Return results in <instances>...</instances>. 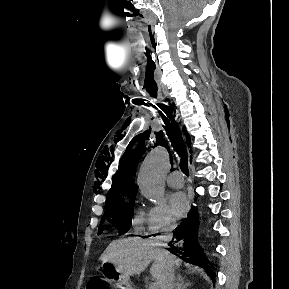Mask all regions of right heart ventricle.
Segmentation results:
<instances>
[{"label":"right heart ventricle","instance_id":"1","mask_svg":"<svg viewBox=\"0 0 289 289\" xmlns=\"http://www.w3.org/2000/svg\"><path fill=\"white\" fill-rule=\"evenodd\" d=\"M132 223L137 233L142 234L145 232L147 225V213L141 207L135 209Z\"/></svg>","mask_w":289,"mask_h":289}]
</instances>
